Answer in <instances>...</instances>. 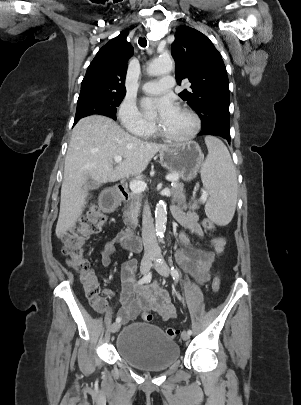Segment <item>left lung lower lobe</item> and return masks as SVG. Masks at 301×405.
<instances>
[{
  "instance_id": "0a47b994",
  "label": "left lung lower lobe",
  "mask_w": 301,
  "mask_h": 405,
  "mask_svg": "<svg viewBox=\"0 0 301 405\" xmlns=\"http://www.w3.org/2000/svg\"><path fill=\"white\" fill-rule=\"evenodd\" d=\"M199 134L220 136V137L226 139L230 143V131L210 130V131H207V132L202 131Z\"/></svg>"
}]
</instances>
